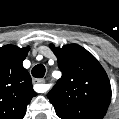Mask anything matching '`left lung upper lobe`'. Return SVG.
Wrapping results in <instances>:
<instances>
[{"mask_svg": "<svg viewBox=\"0 0 119 119\" xmlns=\"http://www.w3.org/2000/svg\"><path fill=\"white\" fill-rule=\"evenodd\" d=\"M50 48L62 77L47 97L61 119H102L111 99L108 76L97 59L77 44Z\"/></svg>", "mask_w": 119, "mask_h": 119, "instance_id": "left-lung-upper-lobe-1", "label": "left lung upper lobe"}]
</instances>
